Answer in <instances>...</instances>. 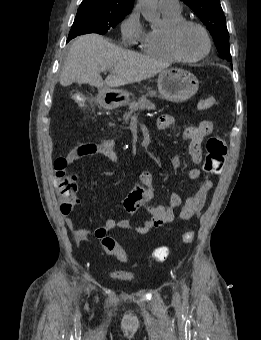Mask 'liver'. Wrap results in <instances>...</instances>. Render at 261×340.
<instances>
[{
	"label": "liver",
	"mask_w": 261,
	"mask_h": 340,
	"mask_svg": "<svg viewBox=\"0 0 261 340\" xmlns=\"http://www.w3.org/2000/svg\"><path fill=\"white\" fill-rule=\"evenodd\" d=\"M167 64L116 46L101 35L85 34L72 43L60 84H89L99 90L140 82L167 68ZM110 71L103 81L100 73Z\"/></svg>",
	"instance_id": "obj_1"
}]
</instances>
